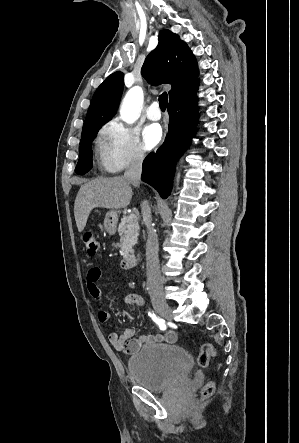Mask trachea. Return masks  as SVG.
I'll use <instances>...</instances> for the list:
<instances>
[{"mask_svg":"<svg viewBox=\"0 0 299 443\" xmlns=\"http://www.w3.org/2000/svg\"><path fill=\"white\" fill-rule=\"evenodd\" d=\"M167 104H168V96L167 93L164 92L159 96V105L162 111L166 110Z\"/></svg>","mask_w":299,"mask_h":443,"instance_id":"obj_1","label":"trachea"}]
</instances>
